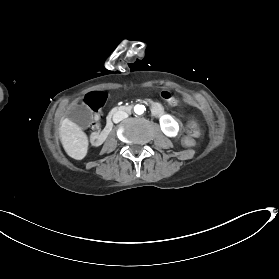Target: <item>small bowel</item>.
<instances>
[{
    "label": "small bowel",
    "mask_w": 279,
    "mask_h": 279,
    "mask_svg": "<svg viewBox=\"0 0 279 279\" xmlns=\"http://www.w3.org/2000/svg\"><path fill=\"white\" fill-rule=\"evenodd\" d=\"M161 97L170 105H176L177 104V98L173 96L168 90H163L161 92ZM157 105V110L155 112L156 115H159L162 111V106L159 103H155Z\"/></svg>",
    "instance_id": "obj_1"
}]
</instances>
